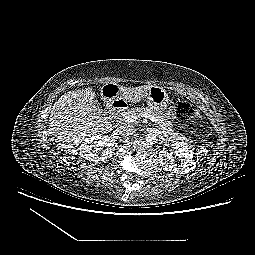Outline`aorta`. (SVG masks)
<instances>
[{
  "mask_svg": "<svg viewBox=\"0 0 255 255\" xmlns=\"http://www.w3.org/2000/svg\"><path fill=\"white\" fill-rule=\"evenodd\" d=\"M145 140H146L147 144L153 145L157 142L158 139H157L156 134L148 133L145 135Z\"/></svg>",
  "mask_w": 255,
  "mask_h": 255,
  "instance_id": "762f6f07",
  "label": "aorta"
}]
</instances>
